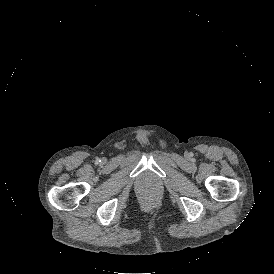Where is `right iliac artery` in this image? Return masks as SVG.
I'll return each mask as SVG.
<instances>
[{
  "label": "right iliac artery",
  "mask_w": 274,
  "mask_h": 274,
  "mask_svg": "<svg viewBox=\"0 0 274 274\" xmlns=\"http://www.w3.org/2000/svg\"><path fill=\"white\" fill-rule=\"evenodd\" d=\"M96 161H97V162H100L101 160L97 158V160H96Z\"/></svg>",
  "instance_id": "82829eb1"
}]
</instances>
